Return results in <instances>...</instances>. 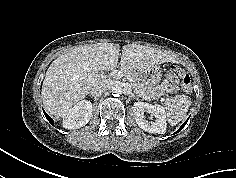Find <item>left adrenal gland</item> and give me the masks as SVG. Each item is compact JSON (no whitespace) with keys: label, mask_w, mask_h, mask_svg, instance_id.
Listing matches in <instances>:
<instances>
[{"label":"left adrenal gland","mask_w":236,"mask_h":178,"mask_svg":"<svg viewBox=\"0 0 236 178\" xmlns=\"http://www.w3.org/2000/svg\"><path fill=\"white\" fill-rule=\"evenodd\" d=\"M133 97H135L137 100H139V97H137V96H135V95H133Z\"/></svg>","instance_id":"a2214340"}]
</instances>
